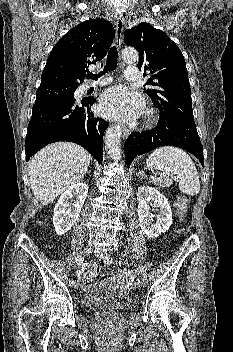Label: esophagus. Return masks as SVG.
I'll list each match as a JSON object with an SVG mask.
<instances>
[{
  "label": "esophagus",
  "instance_id": "esophagus-1",
  "mask_svg": "<svg viewBox=\"0 0 233 352\" xmlns=\"http://www.w3.org/2000/svg\"><path fill=\"white\" fill-rule=\"evenodd\" d=\"M125 19L120 16L117 21H116V35H115V46L117 49L121 48V42H122V32H123V27H124ZM130 134V130L127 127H123V137L126 138Z\"/></svg>",
  "mask_w": 233,
  "mask_h": 352
}]
</instances>
